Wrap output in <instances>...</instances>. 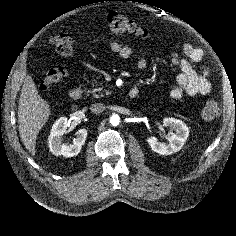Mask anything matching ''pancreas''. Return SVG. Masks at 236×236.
Wrapping results in <instances>:
<instances>
[{"instance_id":"obj_1","label":"pancreas","mask_w":236,"mask_h":236,"mask_svg":"<svg viewBox=\"0 0 236 236\" xmlns=\"http://www.w3.org/2000/svg\"><path fill=\"white\" fill-rule=\"evenodd\" d=\"M96 79H98V78H96ZM96 79H93V80H92L91 83H92V87H93V88L87 90V91H86V95L89 96L90 94H92L93 97H95V98H100V97H103V96H104V93H102V91L105 92V94H109V91H108V90H103V87H100V85H102L103 83L97 81ZM97 86H99V87H97ZM97 92H98L99 94H97Z\"/></svg>"}]
</instances>
